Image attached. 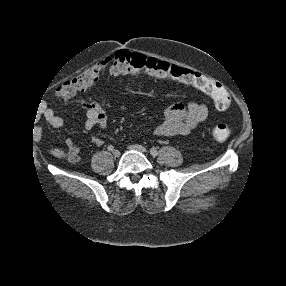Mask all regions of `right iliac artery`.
Here are the masks:
<instances>
[{
	"label": "right iliac artery",
	"mask_w": 286,
	"mask_h": 286,
	"mask_svg": "<svg viewBox=\"0 0 286 286\" xmlns=\"http://www.w3.org/2000/svg\"><path fill=\"white\" fill-rule=\"evenodd\" d=\"M107 149H108L109 151H113L114 147H113V145H109V146L107 147Z\"/></svg>",
	"instance_id": "right-iliac-artery-1"
}]
</instances>
